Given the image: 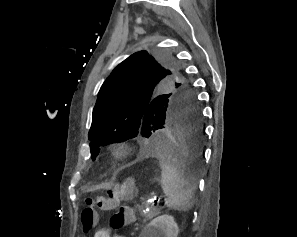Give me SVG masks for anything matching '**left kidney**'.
Listing matches in <instances>:
<instances>
[{
    "label": "left kidney",
    "mask_w": 297,
    "mask_h": 237,
    "mask_svg": "<svg viewBox=\"0 0 297 237\" xmlns=\"http://www.w3.org/2000/svg\"><path fill=\"white\" fill-rule=\"evenodd\" d=\"M178 233L179 228L173 216L161 215L146 226L144 237H177Z\"/></svg>",
    "instance_id": "1"
}]
</instances>
